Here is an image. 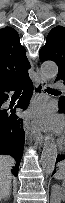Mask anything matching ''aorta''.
<instances>
[{"instance_id": "obj_1", "label": "aorta", "mask_w": 65, "mask_h": 203, "mask_svg": "<svg viewBox=\"0 0 65 203\" xmlns=\"http://www.w3.org/2000/svg\"><path fill=\"white\" fill-rule=\"evenodd\" d=\"M42 76L46 80L54 79L58 74V66L53 61H46L41 65ZM58 155L57 145L52 135H47L44 140L40 164L45 174H52L55 169Z\"/></svg>"}]
</instances>
